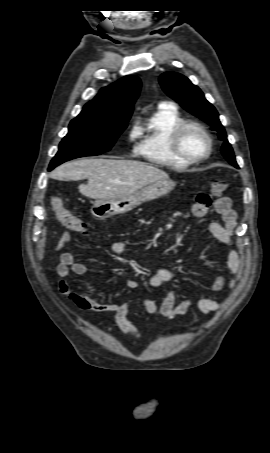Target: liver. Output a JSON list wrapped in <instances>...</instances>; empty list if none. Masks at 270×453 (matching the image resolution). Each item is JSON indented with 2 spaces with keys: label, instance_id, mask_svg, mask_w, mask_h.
I'll return each mask as SVG.
<instances>
[{
  "label": "liver",
  "instance_id": "6515ba94",
  "mask_svg": "<svg viewBox=\"0 0 270 453\" xmlns=\"http://www.w3.org/2000/svg\"><path fill=\"white\" fill-rule=\"evenodd\" d=\"M49 176L63 181L87 178V185H79V191L92 199L122 198L153 182L169 178L163 170L143 162L92 158L66 162Z\"/></svg>",
  "mask_w": 270,
  "mask_h": 453
}]
</instances>
